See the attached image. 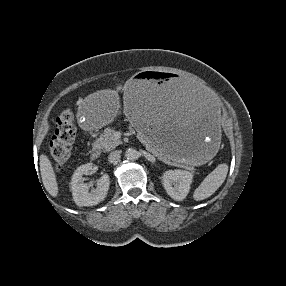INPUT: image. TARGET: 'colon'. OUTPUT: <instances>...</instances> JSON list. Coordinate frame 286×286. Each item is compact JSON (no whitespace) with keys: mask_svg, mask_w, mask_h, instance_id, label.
Instances as JSON below:
<instances>
[{"mask_svg":"<svg viewBox=\"0 0 286 286\" xmlns=\"http://www.w3.org/2000/svg\"><path fill=\"white\" fill-rule=\"evenodd\" d=\"M76 135L73 112L66 108L56 120L54 136L50 141V156L56 170L61 169L71 157Z\"/></svg>","mask_w":286,"mask_h":286,"instance_id":"1","label":"colon"}]
</instances>
